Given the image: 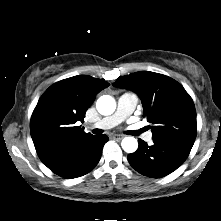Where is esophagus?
I'll list each match as a JSON object with an SVG mask.
<instances>
[{
  "label": "esophagus",
  "mask_w": 221,
  "mask_h": 221,
  "mask_svg": "<svg viewBox=\"0 0 221 221\" xmlns=\"http://www.w3.org/2000/svg\"><path fill=\"white\" fill-rule=\"evenodd\" d=\"M113 139L120 141L123 139V135H113Z\"/></svg>",
  "instance_id": "obj_1"
}]
</instances>
